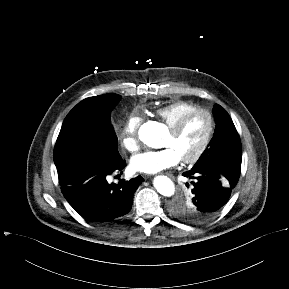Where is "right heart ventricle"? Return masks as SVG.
Masks as SVG:
<instances>
[{
	"instance_id": "obj_1",
	"label": "right heart ventricle",
	"mask_w": 289,
	"mask_h": 289,
	"mask_svg": "<svg viewBox=\"0 0 289 289\" xmlns=\"http://www.w3.org/2000/svg\"><path fill=\"white\" fill-rule=\"evenodd\" d=\"M197 109V106L188 101H175L157 108L154 111L156 117L160 118L168 127L173 125L185 113Z\"/></svg>"
}]
</instances>
